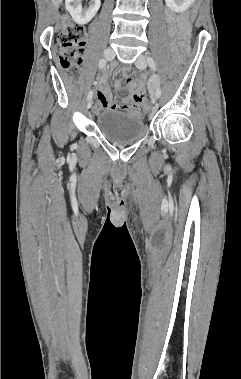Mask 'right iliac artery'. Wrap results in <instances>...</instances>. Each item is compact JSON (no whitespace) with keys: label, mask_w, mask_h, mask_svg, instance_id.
Instances as JSON below:
<instances>
[{"label":"right iliac artery","mask_w":241,"mask_h":379,"mask_svg":"<svg viewBox=\"0 0 241 379\" xmlns=\"http://www.w3.org/2000/svg\"><path fill=\"white\" fill-rule=\"evenodd\" d=\"M105 66H106V60H105V59H101V60L99 61V68H100V69H103ZM92 97H93V92L90 91V92L88 93L87 98H88V100H90V99H92Z\"/></svg>","instance_id":"82829eb1"}]
</instances>
